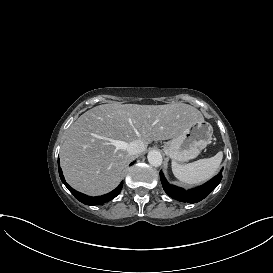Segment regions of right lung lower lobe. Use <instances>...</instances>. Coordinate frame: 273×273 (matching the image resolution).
I'll use <instances>...</instances> for the list:
<instances>
[{
  "instance_id": "obj_1",
  "label": "right lung lower lobe",
  "mask_w": 273,
  "mask_h": 273,
  "mask_svg": "<svg viewBox=\"0 0 273 273\" xmlns=\"http://www.w3.org/2000/svg\"><path fill=\"white\" fill-rule=\"evenodd\" d=\"M134 164V162L131 163V165ZM58 170H59V175L60 178L62 180V182L64 183V185L68 188V190L75 196L76 199H78L80 202L86 204V205H101L104 204L110 200H112L113 198H115L116 196L119 195V193L121 192L122 189V185L123 183H121L115 190H113L112 192L105 194L103 196H99V197H90L87 195H84L80 192H77L76 190H74L72 187H70L65 179L64 176L62 174V170L60 168L59 165V159H58Z\"/></svg>"
}]
</instances>
